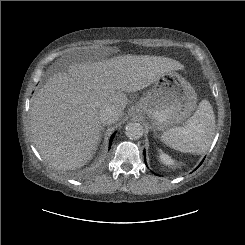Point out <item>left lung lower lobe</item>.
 I'll use <instances>...</instances> for the list:
<instances>
[{
	"label": "left lung lower lobe",
	"mask_w": 245,
	"mask_h": 245,
	"mask_svg": "<svg viewBox=\"0 0 245 245\" xmlns=\"http://www.w3.org/2000/svg\"><path fill=\"white\" fill-rule=\"evenodd\" d=\"M144 159H145V152H144ZM145 162H146V159H145ZM202 162H203V161H202ZM202 162L200 163V165L202 164ZM200 165H199V166H200ZM199 166H198V167H199ZM198 167H197V168H198ZM197 168H196V169H197Z\"/></svg>",
	"instance_id": "0a47b994"
}]
</instances>
